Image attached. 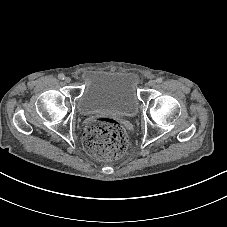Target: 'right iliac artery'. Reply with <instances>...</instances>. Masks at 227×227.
Listing matches in <instances>:
<instances>
[{
	"label": "right iliac artery",
	"instance_id": "obj_1",
	"mask_svg": "<svg viewBox=\"0 0 227 227\" xmlns=\"http://www.w3.org/2000/svg\"><path fill=\"white\" fill-rule=\"evenodd\" d=\"M58 78L61 79V80H63V79L65 78V75H64L63 73H60V74L58 75Z\"/></svg>",
	"mask_w": 227,
	"mask_h": 227
}]
</instances>
